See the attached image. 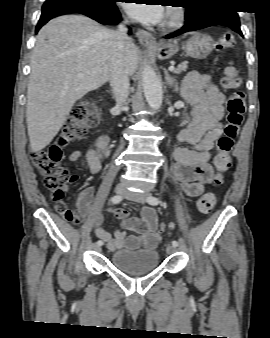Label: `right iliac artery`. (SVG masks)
Wrapping results in <instances>:
<instances>
[{
    "label": "right iliac artery",
    "mask_w": 270,
    "mask_h": 338,
    "mask_svg": "<svg viewBox=\"0 0 270 338\" xmlns=\"http://www.w3.org/2000/svg\"><path fill=\"white\" fill-rule=\"evenodd\" d=\"M122 199H123V197L121 195H115V196L112 197L111 201H112V203L117 204V203L121 202ZM97 245L102 246L103 245L102 240H98Z\"/></svg>",
    "instance_id": "82829eb1"
}]
</instances>
